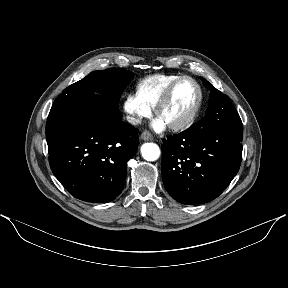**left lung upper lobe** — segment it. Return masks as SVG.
<instances>
[{
    "label": "left lung upper lobe",
    "instance_id": "1",
    "mask_svg": "<svg viewBox=\"0 0 288 288\" xmlns=\"http://www.w3.org/2000/svg\"><path fill=\"white\" fill-rule=\"evenodd\" d=\"M204 86L210 91L209 107L205 118L193 125L207 126L225 131L243 139V125L238 112L230 99L217 90L211 83L201 78Z\"/></svg>",
    "mask_w": 288,
    "mask_h": 288
}]
</instances>
